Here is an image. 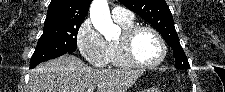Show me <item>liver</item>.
Here are the masks:
<instances>
[{
	"label": "liver",
	"instance_id": "6515ba94",
	"mask_svg": "<svg viewBox=\"0 0 225 92\" xmlns=\"http://www.w3.org/2000/svg\"><path fill=\"white\" fill-rule=\"evenodd\" d=\"M143 74L137 69H94L67 54L38 65L30 72L28 92H126Z\"/></svg>",
	"mask_w": 225,
	"mask_h": 92
}]
</instances>
